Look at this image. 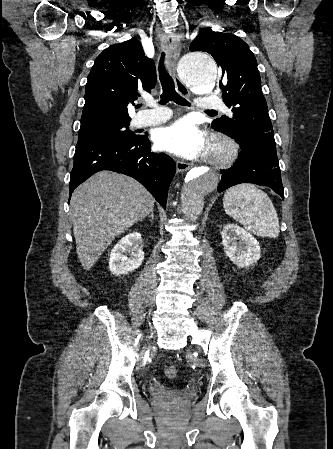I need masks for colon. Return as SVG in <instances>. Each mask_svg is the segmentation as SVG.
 I'll list each match as a JSON object with an SVG mask.
<instances>
[{
  "instance_id": "obj_1",
  "label": "colon",
  "mask_w": 333,
  "mask_h": 449,
  "mask_svg": "<svg viewBox=\"0 0 333 449\" xmlns=\"http://www.w3.org/2000/svg\"><path fill=\"white\" fill-rule=\"evenodd\" d=\"M165 375L168 378H175L177 376V368L175 366H167L165 368Z\"/></svg>"
}]
</instances>
